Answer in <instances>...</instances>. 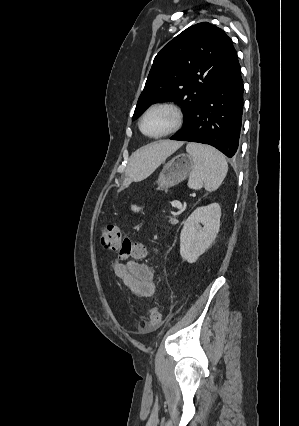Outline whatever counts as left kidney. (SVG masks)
<instances>
[{
    "label": "left kidney",
    "mask_w": 299,
    "mask_h": 426,
    "mask_svg": "<svg viewBox=\"0 0 299 426\" xmlns=\"http://www.w3.org/2000/svg\"><path fill=\"white\" fill-rule=\"evenodd\" d=\"M220 217L218 203L198 207L192 212L180 234V255L183 260L194 263L210 247L219 232Z\"/></svg>",
    "instance_id": "left-kidney-1"
}]
</instances>
